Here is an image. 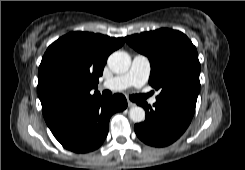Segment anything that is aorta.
<instances>
[{
	"mask_svg": "<svg viewBox=\"0 0 245 170\" xmlns=\"http://www.w3.org/2000/svg\"><path fill=\"white\" fill-rule=\"evenodd\" d=\"M131 65V58L128 53L115 51L108 58V66L114 73H124ZM130 119L139 123L145 119V111L142 107L134 106L129 111Z\"/></svg>",
	"mask_w": 245,
	"mask_h": 170,
	"instance_id": "obj_1",
	"label": "aorta"
}]
</instances>
